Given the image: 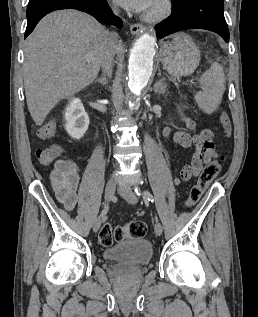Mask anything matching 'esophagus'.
Here are the masks:
<instances>
[{
  "mask_svg": "<svg viewBox=\"0 0 258 317\" xmlns=\"http://www.w3.org/2000/svg\"><path fill=\"white\" fill-rule=\"evenodd\" d=\"M144 30V26L139 23H133L130 25V31L133 35H137Z\"/></svg>",
  "mask_w": 258,
  "mask_h": 317,
  "instance_id": "obj_1",
  "label": "esophagus"
}]
</instances>
